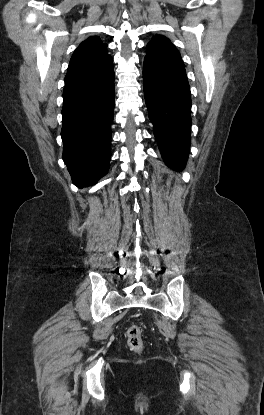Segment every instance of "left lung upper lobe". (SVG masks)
<instances>
[{
    "label": "left lung upper lobe",
    "mask_w": 264,
    "mask_h": 415,
    "mask_svg": "<svg viewBox=\"0 0 264 415\" xmlns=\"http://www.w3.org/2000/svg\"><path fill=\"white\" fill-rule=\"evenodd\" d=\"M167 63L184 66L179 51L162 36H155L147 45V56Z\"/></svg>",
    "instance_id": "left-lung-upper-lobe-1"
}]
</instances>
